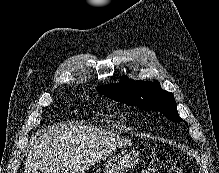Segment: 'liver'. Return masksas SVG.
I'll use <instances>...</instances> for the list:
<instances>
[{
    "label": "liver",
    "instance_id": "obj_1",
    "mask_svg": "<svg viewBox=\"0 0 219 173\" xmlns=\"http://www.w3.org/2000/svg\"><path fill=\"white\" fill-rule=\"evenodd\" d=\"M33 140L24 173H84L130 143L111 132L62 123L42 129Z\"/></svg>",
    "mask_w": 219,
    "mask_h": 173
}]
</instances>
